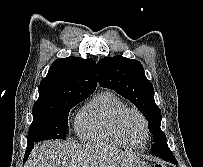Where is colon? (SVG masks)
<instances>
[{"label":"colon","instance_id":"obj_1","mask_svg":"<svg viewBox=\"0 0 203 167\" xmlns=\"http://www.w3.org/2000/svg\"><path fill=\"white\" fill-rule=\"evenodd\" d=\"M155 167H164V166L161 164H157Z\"/></svg>","mask_w":203,"mask_h":167}]
</instances>
